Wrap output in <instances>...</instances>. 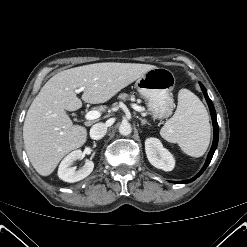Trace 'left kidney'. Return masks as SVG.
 Returning <instances> with one entry per match:
<instances>
[{"instance_id": "left-kidney-1", "label": "left kidney", "mask_w": 247, "mask_h": 247, "mask_svg": "<svg viewBox=\"0 0 247 247\" xmlns=\"http://www.w3.org/2000/svg\"><path fill=\"white\" fill-rule=\"evenodd\" d=\"M145 151L149 162L156 168L172 171L175 166L173 155L163 147L157 138H148L145 141Z\"/></svg>"}]
</instances>
